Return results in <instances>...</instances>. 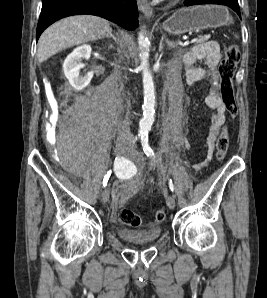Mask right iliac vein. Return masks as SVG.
I'll use <instances>...</instances> for the list:
<instances>
[{"mask_svg": "<svg viewBox=\"0 0 267 298\" xmlns=\"http://www.w3.org/2000/svg\"><path fill=\"white\" fill-rule=\"evenodd\" d=\"M126 149V146L124 144H118L115 148V154L118 156L120 155L122 152H124ZM109 196H110V192L108 188H105L102 191L101 194V198H102V202L106 203L109 200Z\"/></svg>", "mask_w": 267, "mask_h": 298, "instance_id": "right-iliac-vein-1", "label": "right iliac vein"}]
</instances>
